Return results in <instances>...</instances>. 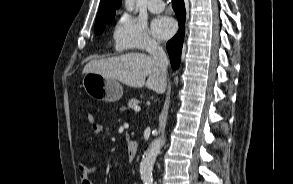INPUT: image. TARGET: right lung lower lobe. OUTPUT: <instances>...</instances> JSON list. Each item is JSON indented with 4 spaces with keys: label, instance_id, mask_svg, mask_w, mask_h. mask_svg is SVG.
<instances>
[{
    "label": "right lung lower lobe",
    "instance_id": "1",
    "mask_svg": "<svg viewBox=\"0 0 293 184\" xmlns=\"http://www.w3.org/2000/svg\"><path fill=\"white\" fill-rule=\"evenodd\" d=\"M173 8L179 22L178 33L167 43V51L170 57L171 66L177 69L180 65V55L182 51V44L184 41V26H185V5L184 0H172Z\"/></svg>",
    "mask_w": 293,
    "mask_h": 184
}]
</instances>
